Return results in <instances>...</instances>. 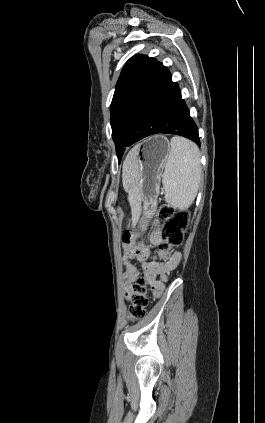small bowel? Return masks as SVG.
I'll list each match as a JSON object with an SVG mask.
<instances>
[{
  "instance_id": "obj_1",
  "label": "small bowel",
  "mask_w": 265,
  "mask_h": 423,
  "mask_svg": "<svg viewBox=\"0 0 265 423\" xmlns=\"http://www.w3.org/2000/svg\"><path fill=\"white\" fill-rule=\"evenodd\" d=\"M161 238L159 230L152 231L149 236L150 243L154 245L160 243ZM149 252V248L142 244L124 251L123 290L126 298H130L132 286L140 278L138 268L133 263L134 259L141 263L146 281L151 286L153 294L158 296L164 289V282L168 280L170 273L177 268L182 258L181 253L175 252L164 256L161 261H148Z\"/></svg>"
}]
</instances>
